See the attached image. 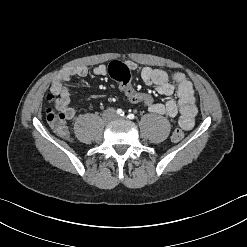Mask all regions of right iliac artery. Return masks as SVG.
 <instances>
[{
	"label": "right iliac artery",
	"mask_w": 247,
	"mask_h": 247,
	"mask_svg": "<svg viewBox=\"0 0 247 247\" xmlns=\"http://www.w3.org/2000/svg\"><path fill=\"white\" fill-rule=\"evenodd\" d=\"M117 114L120 116H124V111L122 109H117Z\"/></svg>",
	"instance_id": "obj_1"
}]
</instances>
